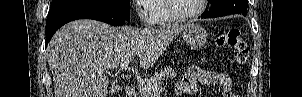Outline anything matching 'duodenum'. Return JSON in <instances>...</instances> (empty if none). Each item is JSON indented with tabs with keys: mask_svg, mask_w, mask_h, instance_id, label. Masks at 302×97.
<instances>
[{
	"mask_svg": "<svg viewBox=\"0 0 302 97\" xmlns=\"http://www.w3.org/2000/svg\"><path fill=\"white\" fill-rule=\"evenodd\" d=\"M137 90L134 86H127L125 88V97H136Z\"/></svg>",
	"mask_w": 302,
	"mask_h": 97,
	"instance_id": "410a0bca",
	"label": "duodenum"
}]
</instances>
